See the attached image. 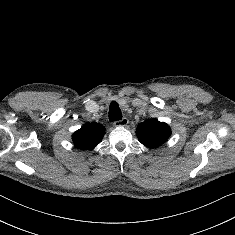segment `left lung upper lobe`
<instances>
[{
  "instance_id": "5c2ea615",
  "label": "left lung upper lobe",
  "mask_w": 235,
  "mask_h": 235,
  "mask_svg": "<svg viewBox=\"0 0 235 235\" xmlns=\"http://www.w3.org/2000/svg\"><path fill=\"white\" fill-rule=\"evenodd\" d=\"M136 135L143 145L154 148L167 141L171 135V129L164 122L150 119L137 126Z\"/></svg>"
}]
</instances>
